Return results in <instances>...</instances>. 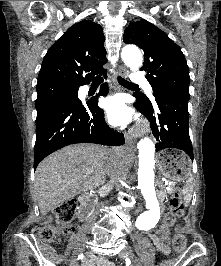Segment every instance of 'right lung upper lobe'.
I'll use <instances>...</instances> for the list:
<instances>
[{
	"instance_id": "right-lung-upper-lobe-1",
	"label": "right lung upper lobe",
	"mask_w": 221,
	"mask_h": 266,
	"mask_svg": "<svg viewBox=\"0 0 221 266\" xmlns=\"http://www.w3.org/2000/svg\"><path fill=\"white\" fill-rule=\"evenodd\" d=\"M102 27L91 20L71 26L47 51L38 75L37 87L88 84L97 74H104L107 62Z\"/></svg>"
}]
</instances>
